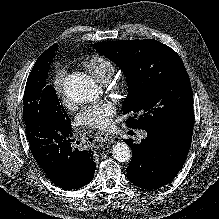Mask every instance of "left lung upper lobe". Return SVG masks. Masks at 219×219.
Masks as SVG:
<instances>
[{"label": "left lung upper lobe", "mask_w": 219, "mask_h": 219, "mask_svg": "<svg viewBox=\"0 0 219 219\" xmlns=\"http://www.w3.org/2000/svg\"><path fill=\"white\" fill-rule=\"evenodd\" d=\"M94 48L126 74L129 94L122 110L131 116L129 127L157 133L193 128L190 80L173 49L153 39L99 42Z\"/></svg>", "instance_id": "1"}]
</instances>
